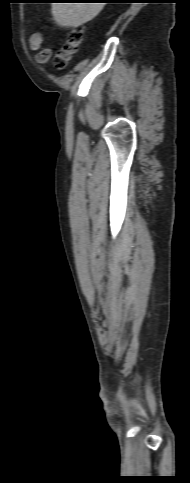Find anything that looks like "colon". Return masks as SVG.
I'll use <instances>...</instances> for the list:
<instances>
[{"instance_id": "obj_1", "label": "colon", "mask_w": 190, "mask_h": 483, "mask_svg": "<svg viewBox=\"0 0 190 483\" xmlns=\"http://www.w3.org/2000/svg\"><path fill=\"white\" fill-rule=\"evenodd\" d=\"M82 40V33L80 30H74L68 37L67 42L57 52L54 64L57 69H63L68 64L72 55L76 52L78 45Z\"/></svg>"}]
</instances>
